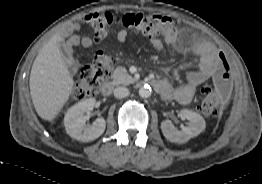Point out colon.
Returning a JSON list of instances; mask_svg holds the SVG:
<instances>
[{
	"instance_id": "5ec220e1",
	"label": "colon",
	"mask_w": 262,
	"mask_h": 184,
	"mask_svg": "<svg viewBox=\"0 0 262 184\" xmlns=\"http://www.w3.org/2000/svg\"><path fill=\"white\" fill-rule=\"evenodd\" d=\"M82 21L93 28L97 41L104 39L110 29L116 25L150 38L165 36L173 31L172 20L159 14L89 13L82 18ZM219 58L220 63L214 81L205 84L199 96V110L210 118L219 114L221 105L227 100L232 88L229 64L222 54H219ZM113 63V57L98 51L92 62L81 70L79 80L73 89V97L80 100L96 95L110 77Z\"/></svg>"
}]
</instances>
